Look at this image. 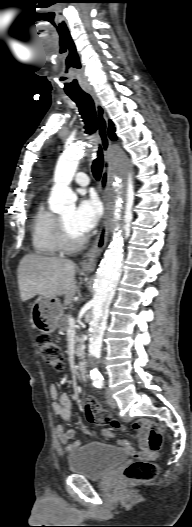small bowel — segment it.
<instances>
[{"label": "small bowel", "mask_w": 192, "mask_h": 527, "mask_svg": "<svg viewBox=\"0 0 192 527\" xmlns=\"http://www.w3.org/2000/svg\"><path fill=\"white\" fill-rule=\"evenodd\" d=\"M49 394L51 398L53 399L52 408L55 414L61 420H69L72 416V402H71L70 397L66 393H59L57 388L54 385L50 386ZM134 429L136 431H139V435L141 438V444H142L143 450L140 453H136L127 440H120L118 441V444L124 447L129 452L128 454L129 459L134 460L136 459L137 456H139V462L141 464H146L148 461L150 463H153L155 461V458L153 457V455L155 454V451H152L149 448H147V445L145 442V437H146L145 430L141 429V426L139 424H136L134 426ZM56 433H57V436L60 442L63 445H65L68 451H72L80 447L82 444L80 440L74 439L75 433H76L74 429L66 430L64 429L62 424H58L56 427ZM101 433L103 437L106 439H110L113 437V432L109 428H103Z\"/></svg>", "instance_id": "obj_1"}]
</instances>
